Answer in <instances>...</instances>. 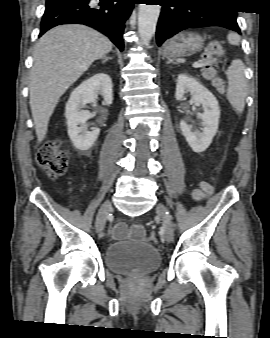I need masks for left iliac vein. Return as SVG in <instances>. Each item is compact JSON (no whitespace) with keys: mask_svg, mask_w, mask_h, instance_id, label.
<instances>
[{"mask_svg":"<svg viewBox=\"0 0 270 338\" xmlns=\"http://www.w3.org/2000/svg\"><path fill=\"white\" fill-rule=\"evenodd\" d=\"M156 212L158 216H160V218L164 222V229H163L164 239L166 242L170 243L174 239V230L172 227L170 215L167 214L166 207L162 203H159L156 206Z\"/></svg>","mask_w":270,"mask_h":338,"instance_id":"obj_1","label":"left iliac vein"}]
</instances>
